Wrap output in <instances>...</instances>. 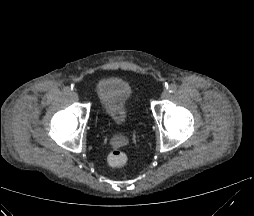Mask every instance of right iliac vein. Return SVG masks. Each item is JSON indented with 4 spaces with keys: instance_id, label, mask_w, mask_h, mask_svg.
Instances as JSON below:
<instances>
[{
    "instance_id": "obj_1",
    "label": "right iliac vein",
    "mask_w": 254,
    "mask_h": 216,
    "mask_svg": "<svg viewBox=\"0 0 254 216\" xmlns=\"http://www.w3.org/2000/svg\"><path fill=\"white\" fill-rule=\"evenodd\" d=\"M71 98L73 100L77 101L79 99V96H78V94L76 92H73V93H71Z\"/></svg>"
}]
</instances>
